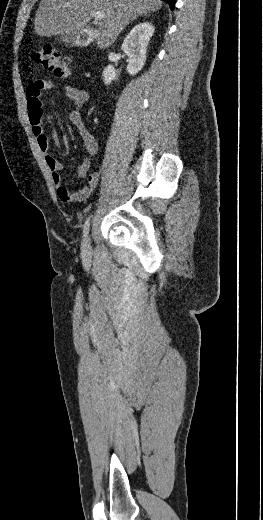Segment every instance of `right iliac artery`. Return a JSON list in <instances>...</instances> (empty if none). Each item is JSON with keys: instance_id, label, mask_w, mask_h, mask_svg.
<instances>
[{"instance_id": "82829eb1", "label": "right iliac artery", "mask_w": 263, "mask_h": 520, "mask_svg": "<svg viewBox=\"0 0 263 520\" xmlns=\"http://www.w3.org/2000/svg\"><path fill=\"white\" fill-rule=\"evenodd\" d=\"M89 227H90V217H88L85 221V224H84V227H83V236H84V239L87 237L88 235V232H89Z\"/></svg>"}]
</instances>
